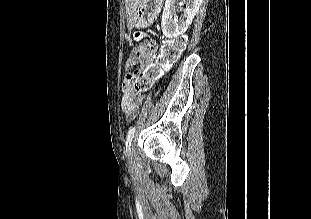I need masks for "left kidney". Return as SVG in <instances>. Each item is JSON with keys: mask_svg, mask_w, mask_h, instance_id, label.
<instances>
[{"mask_svg": "<svg viewBox=\"0 0 311 219\" xmlns=\"http://www.w3.org/2000/svg\"><path fill=\"white\" fill-rule=\"evenodd\" d=\"M203 0H183L185 8H180L183 15L178 20L175 16L176 4L180 0H166L162 14L161 28L167 38H174L186 32L198 12Z\"/></svg>", "mask_w": 311, "mask_h": 219, "instance_id": "obj_1", "label": "left kidney"}]
</instances>
